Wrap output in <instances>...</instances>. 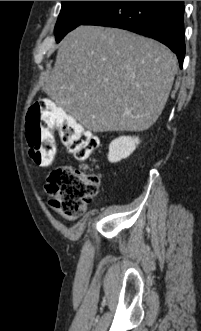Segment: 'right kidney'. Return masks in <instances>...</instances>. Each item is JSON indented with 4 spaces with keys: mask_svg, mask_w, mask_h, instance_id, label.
<instances>
[{
    "mask_svg": "<svg viewBox=\"0 0 201 331\" xmlns=\"http://www.w3.org/2000/svg\"><path fill=\"white\" fill-rule=\"evenodd\" d=\"M139 143L138 137L121 136L114 139L109 145L108 160L115 163L127 158Z\"/></svg>",
    "mask_w": 201,
    "mask_h": 331,
    "instance_id": "right-kidney-1",
    "label": "right kidney"
}]
</instances>
